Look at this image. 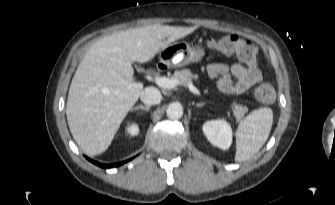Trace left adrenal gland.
I'll return each mask as SVG.
<instances>
[{
  "instance_id": "a2214340",
  "label": "left adrenal gland",
  "mask_w": 335,
  "mask_h": 205,
  "mask_svg": "<svg viewBox=\"0 0 335 205\" xmlns=\"http://www.w3.org/2000/svg\"><path fill=\"white\" fill-rule=\"evenodd\" d=\"M204 105H205V102H203V103H197V104H196L197 107H202V106H204Z\"/></svg>"
}]
</instances>
